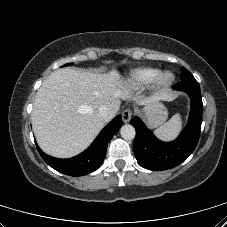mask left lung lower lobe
<instances>
[{"label":"left lung lower lobe","instance_id":"left-lung-lower-lobe-1","mask_svg":"<svg viewBox=\"0 0 227 227\" xmlns=\"http://www.w3.org/2000/svg\"><path fill=\"white\" fill-rule=\"evenodd\" d=\"M174 89L186 92L191 98L188 124L176 140L162 142L139 117L131 119L136 129L135 157L142 167L149 170L159 171L179 165L193 152L199 140L203 108L200 86L194 77H189L182 79Z\"/></svg>","mask_w":227,"mask_h":227}]
</instances>
